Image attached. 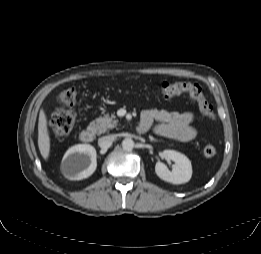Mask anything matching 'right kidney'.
I'll use <instances>...</instances> for the list:
<instances>
[{"instance_id":"1","label":"right kidney","mask_w":261,"mask_h":254,"mask_svg":"<svg viewBox=\"0 0 261 254\" xmlns=\"http://www.w3.org/2000/svg\"><path fill=\"white\" fill-rule=\"evenodd\" d=\"M96 168V150L90 144H77L69 148L61 164V171L69 180L88 178Z\"/></svg>"}]
</instances>
